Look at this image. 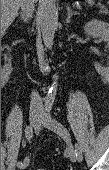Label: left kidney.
Returning <instances> with one entry per match:
<instances>
[{"instance_id": "5707ae66", "label": "left kidney", "mask_w": 109, "mask_h": 170, "mask_svg": "<svg viewBox=\"0 0 109 170\" xmlns=\"http://www.w3.org/2000/svg\"><path fill=\"white\" fill-rule=\"evenodd\" d=\"M84 31L87 35L100 37L104 41H109V25L104 21L93 19L85 24ZM94 66L101 75H107L109 72L108 66H102L98 63H95Z\"/></svg>"}]
</instances>
